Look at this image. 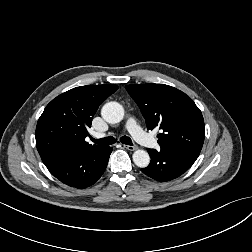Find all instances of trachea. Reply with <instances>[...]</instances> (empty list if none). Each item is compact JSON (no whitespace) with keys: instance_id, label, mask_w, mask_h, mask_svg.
<instances>
[{"instance_id":"1","label":"trachea","mask_w":252,"mask_h":252,"mask_svg":"<svg viewBox=\"0 0 252 252\" xmlns=\"http://www.w3.org/2000/svg\"><path fill=\"white\" fill-rule=\"evenodd\" d=\"M91 140L98 144V145H102V146H108V145H112L114 143H116V139L112 136H109V137H105V138H101V139H94V138H91ZM120 141L123 143V144H126V145H133L131 139L127 136H122L120 138Z\"/></svg>"}]
</instances>
